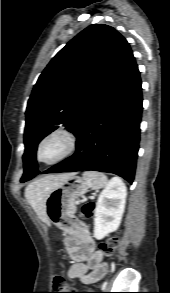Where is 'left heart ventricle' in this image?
I'll use <instances>...</instances> for the list:
<instances>
[{
	"label": "left heart ventricle",
	"instance_id": "b2bd125f",
	"mask_svg": "<svg viewBox=\"0 0 170 293\" xmlns=\"http://www.w3.org/2000/svg\"><path fill=\"white\" fill-rule=\"evenodd\" d=\"M64 149V140L60 136L50 139L41 150L43 160H51L57 157Z\"/></svg>",
	"mask_w": 170,
	"mask_h": 293
}]
</instances>
